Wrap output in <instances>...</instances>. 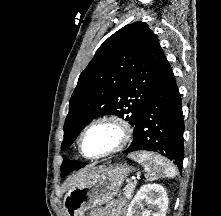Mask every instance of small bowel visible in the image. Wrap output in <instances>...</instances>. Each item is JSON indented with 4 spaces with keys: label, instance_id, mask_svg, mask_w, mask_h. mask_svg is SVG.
Masks as SVG:
<instances>
[{
    "label": "small bowel",
    "instance_id": "c3829d8e",
    "mask_svg": "<svg viewBox=\"0 0 221 216\" xmlns=\"http://www.w3.org/2000/svg\"><path fill=\"white\" fill-rule=\"evenodd\" d=\"M91 216H125V203L122 200L117 201L106 209L93 211Z\"/></svg>",
    "mask_w": 221,
    "mask_h": 216
}]
</instances>
